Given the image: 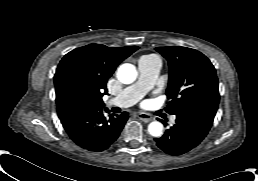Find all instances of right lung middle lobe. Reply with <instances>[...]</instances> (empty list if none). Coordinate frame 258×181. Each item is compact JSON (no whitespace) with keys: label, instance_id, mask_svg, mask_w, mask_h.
I'll return each mask as SVG.
<instances>
[{"label":"right lung middle lobe","instance_id":"dd1d6c3e","mask_svg":"<svg viewBox=\"0 0 258 181\" xmlns=\"http://www.w3.org/2000/svg\"><path fill=\"white\" fill-rule=\"evenodd\" d=\"M97 104L81 91L70 88L63 96L60 111L66 112L77 109L96 108Z\"/></svg>","mask_w":258,"mask_h":181}]
</instances>
